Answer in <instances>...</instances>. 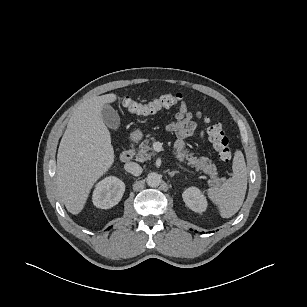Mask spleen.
<instances>
[{
  "mask_svg": "<svg viewBox=\"0 0 307 307\" xmlns=\"http://www.w3.org/2000/svg\"><path fill=\"white\" fill-rule=\"evenodd\" d=\"M232 169L233 176L227 179L221 187L207 189L208 197L218 205L223 218H229L237 213L245 199L247 168L244 155L240 150L234 153Z\"/></svg>",
  "mask_w": 307,
  "mask_h": 307,
  "instance_id": "1",
  "label": "spleen"
}]
</instances>
